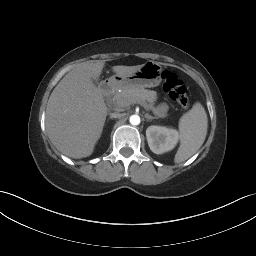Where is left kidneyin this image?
<instances>
[{
  "label": "left kidney",
  "instance_id": "obj_1",
  "mask_svg": "<svg viewBox=\"0 0 256 256\" xmlns=\"http://www.w3.org/2000/svg\"><path fill=\"white\" fill-rule=\"evenodd\" d=\"M146 137L151 151L155 154H162L176 146L179 133L176 129L152 125L147 128Z\"/></svg>",
  "mask_w": 256,
  "mask_h": 256
}]
</instances>
